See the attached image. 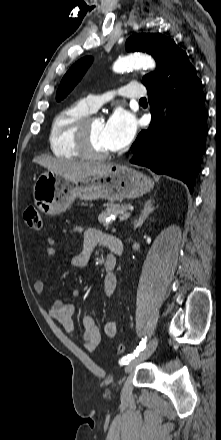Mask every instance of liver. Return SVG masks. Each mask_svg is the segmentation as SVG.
I'll return each mask as SVG.
<instances>
[{"instance_id":"liver-1","label":"liver","mask_w":221,"mask_h":440,"mask_svg":"<svg viewBox=\"0 0 221 440\" xmlns=\"http://www.w3.org/2000/svg\"><path fill=\"white\" fill-rule=\"evenodd\" d=\"M34 163L47 168L56 174L64 176L89 175L93 172L110 167V163L75 162L64 159H56L49 156H39L33 159Z\"/></svg>"}]
</instances>
